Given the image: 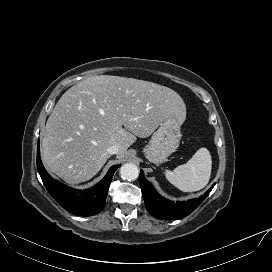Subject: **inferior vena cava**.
Wrapping results in <instances>:
<instances>
[{"label":"inferior vena cava","mask_w":272,"mask_h":272,"mask_svg":"<svg viewBox=\"0 0 272 272\" xmlns=\"http://www.w3.org/2000/svg\"><path fill=\"white\" fill-rule=\"evenodd\" d=\"M119 152V146L118 145H111L107 148V153L109 155L117 154Z\"/></svg>","instance_id":"obj_1"}]
</instances>
